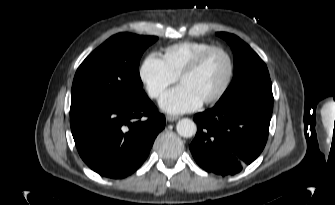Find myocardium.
I'll return each instance as SVG.
<instances>
[{
  "label": "myocardium",
  "mask_w": 335,
  "mask_h": 205,
  "mask_svg": "<svg viewBox=\"0 0 335 205\" xmlns=\"http://www.w3.org/2000/svg\"><path fill=\"white\" fill-rule=\"evenodd\" d=\"M213 52H221L222 54L225 55L228 61V73L220 89L213 96L202 102L203 104L206 105L214 104L218 102L220 99H222L231 85L235 73V63L230 52L221 46H211L202 51L199 55H197L190 62V64L183 69V71L179 75V81L181 82L186 76L191 75L196 71H198L205 62V60L207 59V57Z\"/></svg>",
  "instance_id": "1"
}]
</instances>
